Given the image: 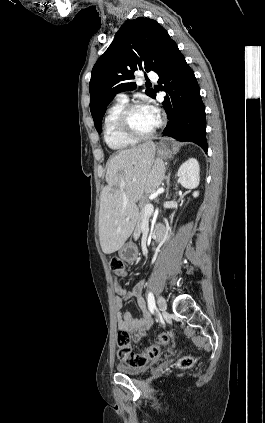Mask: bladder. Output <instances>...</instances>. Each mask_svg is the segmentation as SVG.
Here are the masks:
<instances>
[{
  "label": "bladder",
  "mask_w": 265,
  "mask_h": 423,
  "mask_svg": "<svg viewBox=\"0 0 265 423\" xmlns=\"http://www.w3.org/2000/svg\"><path fill=\"white\" fill-rule=\"evenodd\" d=\"M116 368H117L119 373L125 374V375H128V376L142 375L147 369L146 366H143V367H140V368H129V367L123 365V364L117 365Z\"/></svg>",
  "instance_id": "31cf9c89"
}]
</instances>
